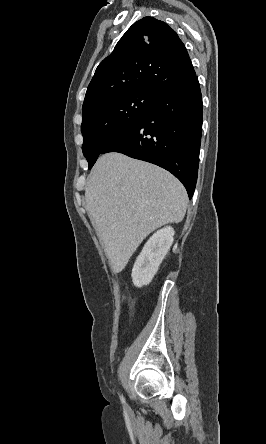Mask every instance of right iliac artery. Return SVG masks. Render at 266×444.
<instances>
[{
  "mask_svg": "<svg viewBox=\"0 0 266 444\" xmlns=\"http://www.w3.org/2000/svg\"><path fill=\"white\" fill-rule=\"evenodd\" d=\"M120 399H121V402H122V403H125V399H124L123 396H120Z\"/></svg>",
  "mask_w": 266,
  "mask_h": 444,
  "instance_id": "82829eb1",
  "label": "right iliac artery"
}]
</instances>
